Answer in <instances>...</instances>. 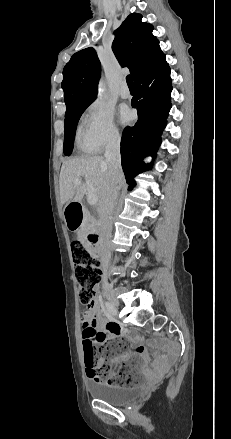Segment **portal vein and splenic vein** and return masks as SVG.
<instances>
[{"mask_svg":"<svg viewBox=\"0 0 231 439\" xmlns=\"http://www.w3.org/2000/svg\"><path fill=\"white\" fill-rule=\"evenodd\" d=\"M74 183L76 185H80L82 183L81 179H75ZM87 183V201L90 205H95L98 201L97 195L94 193V188L90 184V182L86 181Z\"/></svg>","mask_w":231,"mask_h":439,"instance_id":"obj_1","label":"portal vein and splenic vein"}]
</instances>
